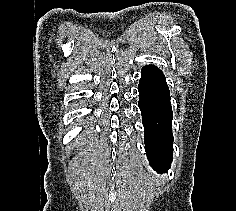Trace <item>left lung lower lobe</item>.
Instances as JSON below:
<instances>
[{
	"label": "left lung lower lobe",
	"mask_w": 236,
	"mask_h": 211,
	"mask_svg": "<svg viewBox=\"0 0 236 211\" xmlns=\"http://www.w3.org/2000/svg\"><path fill=\"white\" fill-rule=\"evenodd\" d=\"M144 142L150 165L159 173L172 162V109L165 76L156 66H144L138 86Z\"/></svg>",
	"instance_id": "1"
}]
</instances>
